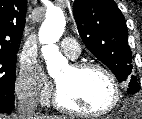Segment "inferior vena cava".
<instances>
[{"label":"inferior vena cava","instance_id":"602c4592","mask_svg":"<svg viewBox=\"0 0 142 119\" xmlns=\"http://www.w3.org/2000/svg\"><path fill=\"white\" fill-rule=\"evenodd\" d=\"M37 109V94L35 92L20 94L16 119H35Z\"/></svg>","mask_w":142,"mask_h":119}]
</instances>
